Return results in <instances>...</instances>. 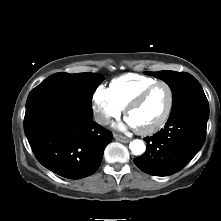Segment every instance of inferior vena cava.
Listing matches in <instances>:
<instances>
[{"instance_id": "obj_1", "label": "inferior vena cava", "mask_w": 221, "mask_h": 221, "mask_svg": "<svg viewBox=\"0 0 221 221\" xmlns=\"http://www.w3.org/2000/svg\"><path fill=\"white\" fill-rule=\"evenodd\" d=\"M94 120L100 125H106L110 122V118L104 114H95L94 115Z\"/></svg>"}]
</instances>
